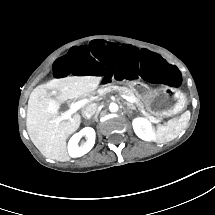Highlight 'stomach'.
Returning a JSON list of instances; mask_svg holds the SVG:
<instances>
[{
  "instance_id": "0dacf381",
  "label": "stomach",
  "mask_w": 215,
  "mask_h": 215,
  "mask_svg": "<svg viewBox=\"0 0 215 215\" xmlns=\"http://www.w3.org/2000/svg\"><path fill=\"white\" fill-rule=\"evenodd\" d=\"M130 90L151 114L159 117L178 114L186 104L185 95L174 88H150L143 83H133Z\"/></svg>"
}]
</instances>
